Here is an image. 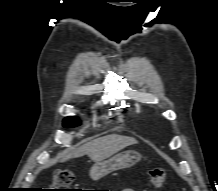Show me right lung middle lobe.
Wrapping results in <instances>:
<instances>
[{"instance_id":"1","label":"right lung middle lobe","mask_w":218,"mask_h":191,"mask_svg":"<svg viewBox=\"0 0 218 191\" xmlns=\"http://www.w3.org/2000/svg\"><path fill=\"white\" fill-rule=\"evenodd\" d=\"M80 124V121L75 117H67L64 119V127H74Z\"/></svg>"}]
</instances>
